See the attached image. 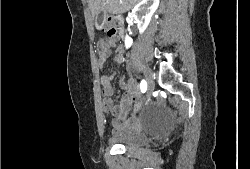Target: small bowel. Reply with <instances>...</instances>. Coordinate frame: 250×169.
Listing matches in <instances>:
<instances>
[{"label":"small bowel","mask_w":250,"mask_h":169,"mask_svg":"<svg viewBox=\"0 0 250 169\" xmlns=\"http://www.w3.org/2000/svg\"><path fill=\"white\" fill-rule=\"evenodd\" d=\"M112 42L100 40L98 42L99 52L102 56V60L99 59L98 64L103 66L107 59L111 55ZM115 61L122 63L123 54L117 51L115 55ZM113 73L103 75L101 77V85L103 89V109L105 112L110 113L113 116V126L115 132L120 135H131L140 128V122L136 117H129L128 112L134 104H137L141 100L140 85L136 78L124 77L120 80V85L124 89L123 96L118 104H115L112 100L114 90L112 87Z\"/></svg>","instance_id":"small-bowel-1"}]
</instances>
